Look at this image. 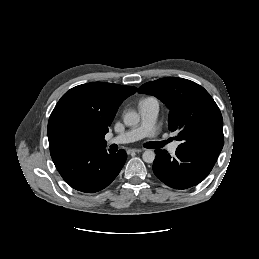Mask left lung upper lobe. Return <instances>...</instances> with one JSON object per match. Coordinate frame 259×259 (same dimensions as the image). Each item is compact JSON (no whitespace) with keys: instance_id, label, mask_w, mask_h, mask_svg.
<instances>
[{"instance_id":"1","label":"left lung upper lobe","mask_w":259,"mask_h":259,"mask_svg":"<svg viewBox=\"0 0 259 259\" xmlns=\"http://www.w3.org/2000/svg\"><path fill=\"white\" fill-rule=\"evenodd\" d=\"M138 92L153 95L166 104L168 126L172 132H178L179 149L209 147L222 150V115L202 86L187 79L166 77L143 84Z\"/></svg>"}]
</instances>
